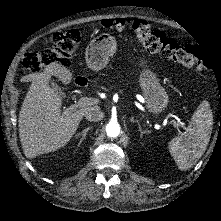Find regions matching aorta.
<instances>
[{
	"label": "aorta",
	"instance_id": "1",
	"mask_svg": "<svg viewBox=\"0 0 221 221\" xmlns=\"http://www.w3.org/2000/svg\"><path fill=\"white\" fill-rule=\"evenodd\" d=\"M107 136L116 138L120 134V125L116 121H110L106 126Z\"/></svg>",
	"mask_w": 221,
	"mask_h": 221
}]
</instances>
